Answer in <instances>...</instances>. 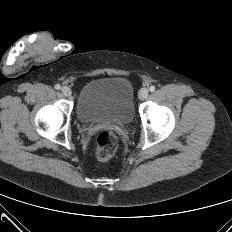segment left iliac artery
Masks as SVG:
<instances>
[{
  "label": "left iliac artery",
  "mask_w": 232,
  "mask_h": 232,
  "mask_svg": "<svg viewBox=\"0 0 232 232\" xmlns=\"http://www.w3.org/2000/svg\"><path fill=\"white\" fill-rule=\"evenodd\" d=\"M149 90H150V92H154V91H155V86H153V85L150 86V87H149Z\"/></svg>",
  "instance_id": "left-iliac-artery-1"
}]
</instances>
